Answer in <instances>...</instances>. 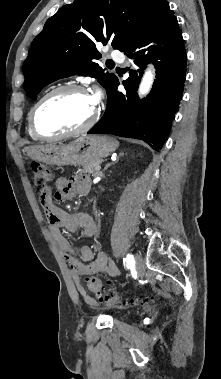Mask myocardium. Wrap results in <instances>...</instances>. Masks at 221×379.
Listing matches in <instances>:
<instances>
[{
  "label": "myocardium",
  "instance_id": "1",
  "mask_svg": "<svg viewBox=\"0 0 221 379\" xmlns=\"http://www.w3.org/2000/svg\"><path fill=\"white\" fill-rule=\"evenodd\" d=\"M70 91H76V92L89 94L88 91L86 90V88L81 86V85L65 84V85L58 86V87L48 91L33 106V108L31 109V112H30L29 123H30V128H31L32 132L34 133V135L37 138L43 139V140H58V139L67 138V137L74 136V135H77L79 133H82V132L88 130L97 122V120L99 118V110H98V107L95 106V109H94L91 117L84 124H82L81 126L75 128L73 130L66 131V132L59 133V134H54V135H46L38 129V127H37V115H38L40 108L52 97L59 95V94H62V93L70 92Z\"/></svg>",
  "mask_w": 221,
  "mask_h": 379
}]
</instances>
